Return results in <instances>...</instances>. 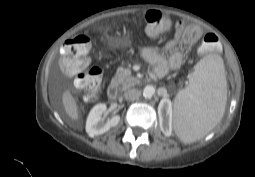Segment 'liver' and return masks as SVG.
<instances>
[{
  "instance_id": "6515ba94",
  "label": "liver",
  "mask_w": 255,
  "mask_h": 177,
  "mask_svg": "<svg viewBox=\"0 0 255 177\" xmlns=\"http://www.w3.org/2000/svg\"><path fill=\"white\" fill-rule=\"evenodd\" d=\"M62 103L67 115L72 119L78 120L77 104L69 91H65L62 95Z\"/></svg>"
}]
</instances>
